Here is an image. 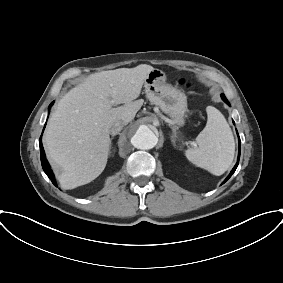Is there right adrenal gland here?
Returning a JSON list of instances; mask_svg holds the SVG:
<instances>
[{"label":"right adrenal gland","mask_w":283,"mask_h":283,"mask_svg":"<svg viewBox=\"0 0 283 283\" xmlns=\"http://www.w3.org/2000/svg\"><path fill=\"white\" fill-rule=\"evenodd\" d=\"M112 139H113V137L110 139V151H109V155H111V153H112V151H111V148H112ZM114 151V150H113Z\"/></svg>","instance_id":"1"}]
</instances>
